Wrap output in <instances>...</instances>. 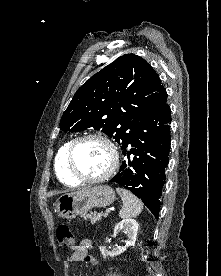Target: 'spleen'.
I'll return each mask as SVG.
<instances>
[{
    "instance_id": "1",
    "label": "spleen",
    "mask_w": 221,
    "mask_h": 276,
    "mask_svg": "<svg viewBox=\"0 0 221 276\" xmlns=\"http://www.w3.org/2000/svg\"><path fill=\"white\" fill-rule=\"evenodd\" d=\"M116 191L123 201L122 209L119 211V217L123 219L137 217L142 212V202L126 189L118 187Z\"/></svg>"
}]
</instances>
